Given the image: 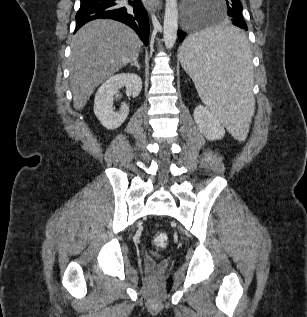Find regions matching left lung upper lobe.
Wrapping results in <instances>:
<instances>
[{
	"label": "left lung upper lobe",
	"instance_id": "obj_1",
	"mask_svg": "<svg viewBox=\"0 0 307 317\" xmlns=\"http://www.w3.org/2000/svg\"><path fill=\"white\" fill-rule=\"evenodd\" d=\"M226 4L228 8L227 13L230 17L236 16L240 18L242 21H244L242 15V4L240 0H226Z\"/></svg>",
	"mask_w": 307,
	"mask_h": 317
}]
</instances>
